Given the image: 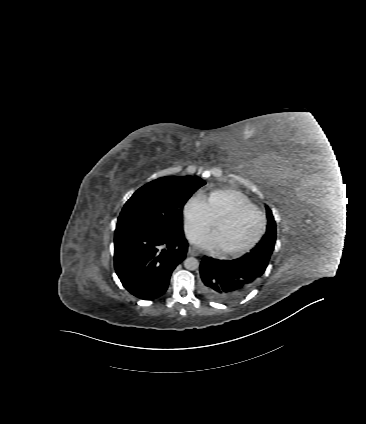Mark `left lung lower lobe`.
<instances>
[{
	"label": "left lung lower lobe",
	"instance_id": "0a47b994",
	"mask_svg": "<svg viewBox=\"0 0 366 424\" xmlns=\"http://www.w3.org/2000/svg\"><path fill=\"white\" fill-rule=\"evenodd\" d=\"M267 265L243 255L234 260L204 258L199 289L208 300L228 304L240 300L257 286Z\"/></svg>",
	"mask_w": 366,
	"mask_h": 424
}]
</instances>
